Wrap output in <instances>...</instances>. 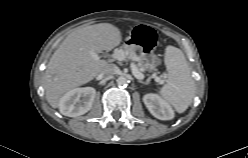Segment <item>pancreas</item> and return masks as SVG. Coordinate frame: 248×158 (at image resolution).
Segmentation results:
<instances>
[{"label": "pancreas", "instance_id": "obj_1", "mask_svg": "<svg viewBox=\"0 0 248 158\" xmlns=\"http://www.w3.org/2000/svg\"><path fill=\"white\" fill-rule=\"evenodd\" d=\"M123 51L126 53V57L128 59L137 62L136 66L139 71L143 72L146 70V67L149 66V64L145 62L143 58L136 55L134 49H132L131 47H123Z\"/></svg>", "mask_w": 248, "mask_h": 158}]
</instances>
